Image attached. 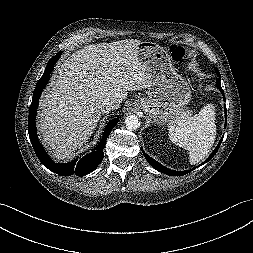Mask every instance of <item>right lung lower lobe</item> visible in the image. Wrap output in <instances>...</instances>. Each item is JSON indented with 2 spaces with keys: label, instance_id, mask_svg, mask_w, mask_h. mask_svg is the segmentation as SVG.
Segmentation results:
<instances>
[{
  "label": "right lung lower lobe",
  "instance_id": "1",
  "mask_svg": "<svg viewBox=\"0 0 253 253\" xmlns=\"http://www.w3.org/2000/svg\"><path fill=\"white\" fill-rule=\"evenodd\" d=\"M61 54H62V51L58 52L48 62L45 72L42 75V77L39 79L36 85V88L34 90L32 103L30 106V111H29V116H28L29 137L38 159L49 170L61 176H70L73 174H76L78 176H83L85 174L90 173L94 169H96V167L102 161L103 156H104L103 149L105 147L106 139L109 136L110 132L112 131L113 127L118 123L119 119L118 118L113 119L107 124L99 145L96 148H94L93 152L87 154L81 160L78 161L76 159L74 161H71L65 164L64 163L59 164V163L53 162V160L48 156L43 146L39 142V139L37 137V132H36L35 117H36V112H37V107L39 104V98H40L41 92L46 86V84L48 83L52 69L55 63L60 58Z\"/></svg>",
  "mask_w": 253,
  "mask_h": 253
}]
</instances>
